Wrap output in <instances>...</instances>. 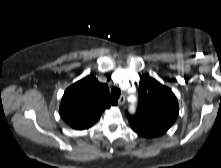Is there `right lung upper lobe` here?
Wrapping results in <instances>:
<instances>
[{
    "label": "right lung upper lobe",
    "instance_id": "1",
    "mask_svg": "<svg viewBox=\"0 0 221 168\" xmlns=\"http://www.w3.org/2000/svg\"><path fill=\"white\" fill-rule=\"evenodd\" d=\"M116 104L108 86L89 75L66 89L60 116L73 129L84 130L93 126L105 109Z\"/></svg>",
    "mask_w": 221,
    "mask_h": 168
}]
</instances>
